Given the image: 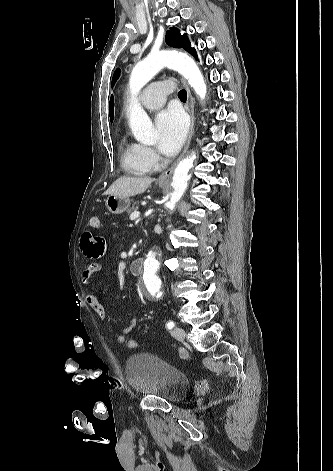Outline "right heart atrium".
<instances>
[{
  "instance_id": "d8ad5b80",
  "label": "right heart atrium",
  "mask_w": 333,
  "mask_h": 471,
  "mask_svg": "<svg viewBox=\"0 0 333 471\" xmlns=\"http://www.w3.org/2000/svg\"><path fill=\"white\" fill-rule=\"evenodd\" d=\"M141 154H142L143 160L151 168L156 167L160 162V158H159L158 154L150 147L141 146Z\"/></svg>"
}]
</instances>
